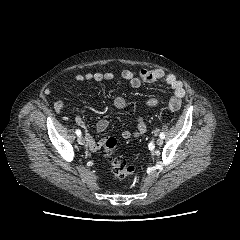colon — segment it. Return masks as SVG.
I'll return each instance as SVG.
<instances>
[{
    "label": "colon",
    "mask_w": 240,
    "mask_h": 240,
    "mask_svg": "<svg viewBox=\"0 0 240 240\" xmlns=\"http://www.w3.org/2000/svg\"><path fill=\"white\" fill-rule=\"evenodd\" d=\"M134 104L130 105L132 109ZM160 119L164 123H169L174 119V111L170 108H163L160 112ZM117 147V140L114 137H108L103 142V155L110 159V166L113 174L120 179L130 178L134 175L135 166L128 164L121 157H113Z\"/></svg>",
    "instance_id": "5ec220e1"
}]
</instances>
